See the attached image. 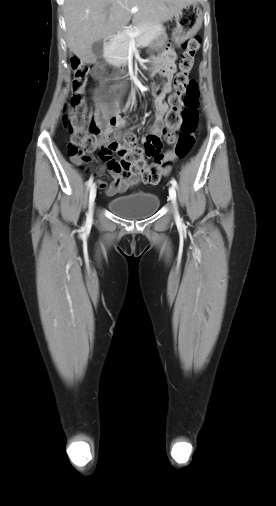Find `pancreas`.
<instances>
[{
	"label": "pancreas",
	"mask_w": 276,
	"mask_h": 506,
	"mask_svg": "<svg viewBox=\"0 0 276 506\" xmlns=\"http://www.w3.org/2000/svg\"><path fill=\"white\" fill-rule=\"evenodd\" d=\"M140 31V34L135 37L138 46H148L150 42L161 32L163 28L160 24H141L136 27L126 29L118 33L112 43L108 46L105 56L110 62H124L127 60L129 43L131 40L128 32Z\"/></svg>",
	"instance_id": "pancreas-1"
}]
</instances>
